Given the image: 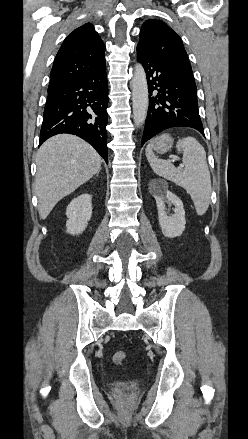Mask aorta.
<instances>
[{"instance_id": "aorta-1", "label": "aorta", "mask_w": 248, "mask_h": 439, "mask_svg": "<svg viewBox=\"0 0 248 439\" xmlns=\"http://www.w3.org/2000/svg\"><path fill=\"white\" fill-rule=\"evenodd\" d=\"M132 84L133 120L138 126L146 119L148 111V85L146 73L141 64H136Z\"/></svg>"}]
</instances>
